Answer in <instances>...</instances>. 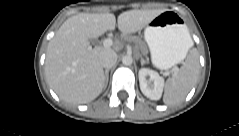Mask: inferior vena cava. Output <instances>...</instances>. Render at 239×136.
<instances>
[{
  "label": "inferior vena cava",
  "mask_w": 239,
  "mask_h": 136,
  "mask_svg": "<svg viewBox=\"0 0 239 136\" xmlns=\"http://www.w3.org/2000/svg\"><path fill=\"white\" fill-rule=\"evenodd\" d=\"M102 67L108 69L115 65L117 61V54L113 50H105L99 56Z\"/></svg>",
  "instance_id": "obj_1"
}]
</instances>
